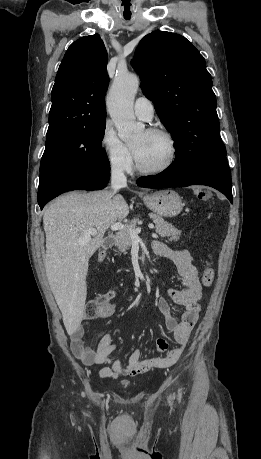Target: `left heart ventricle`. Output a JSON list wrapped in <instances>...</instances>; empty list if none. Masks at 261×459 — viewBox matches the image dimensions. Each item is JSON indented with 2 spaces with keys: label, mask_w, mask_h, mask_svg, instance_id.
Masks as SVG:
<instances>
[{
  "label": "left heart ventricle",
  "mask_w": 261,
  "mask_h": 459,
  "mask_svg": "<svg viewBox=\"0 0 261 459\" xmlns=\"http://www.w3.org/2000/svg\"><path fill=\"white\" fill-rule=\"evenodd\" d=\"M131 146L138 163L145 168H153L163 164L169 155L166 139L146 131L139 133L132 140Z\"/></svg>",
  "instance_id": "obj_1"
}]
</instances>
